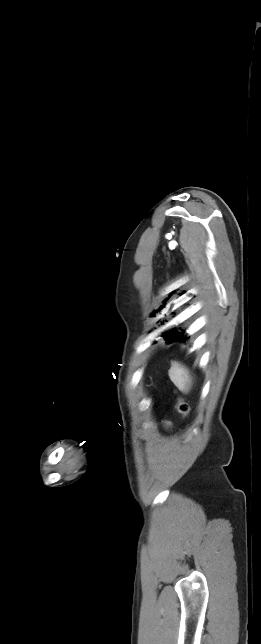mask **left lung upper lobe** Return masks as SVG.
Instances as JSON below:
<instances>
[{
    "label": "left lung upper lobe",
    "mask_w": 261,
    "mask_h": 644,
    "mask_svg": "<svg viewBox=\"0 0 261 644\" xmlns=\"http://www.w3.org/2000/svg\"><path fill=\"white\" fill-rule=\"evenodd\" d=\"M163 335H164V336H167V335H168V332H166V333H165V334H163Z\"/></svg>",
    "instance_id": "obj_1"
}]
</instances>
